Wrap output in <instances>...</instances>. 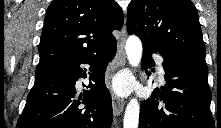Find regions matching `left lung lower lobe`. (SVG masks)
Wrapping results in <instances>:
<instances>
[{"label":"left lung lower lobe","instance_id":"obj_1","mask_svg":"<svg viewBox=\"0 0 221 128\" xmlns=\"http://www.w3.org/2000/svg\"><path fill=\"white\" fill-rule=\"evenodd\" d=\"M156 52L164 58L166 84L141 101L139 128H214L207 66L143 45L142 68L155 65Z\"/></svg>","mask_w":221,"mask_h":128}]
</instances>
